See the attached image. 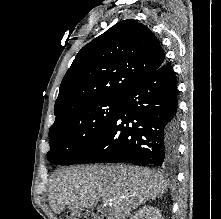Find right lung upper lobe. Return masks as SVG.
Masks as SVG:
<instances>
[{
	"label": "right lung upper lobe",
	"mask_w": 221,
	"mask_h": 219,
	"mask_svg": "<svg viewBox=\"0 0 221 219\" xmlns=\"http://www.w3.org/2000/svg\"><path fill=\"white\" fill-rule=\"evenodd\" d=\"M164 63L162 47L145 25L118 22L79 51L62 80L55 116L90 101L122 98Z\"/></svg>",
	"instance_id": "1"
}]
</instances>
